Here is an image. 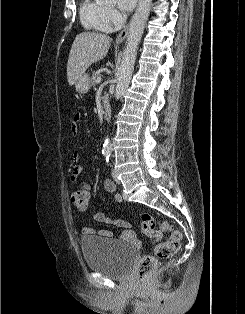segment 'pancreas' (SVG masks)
<instances>
[{"mask_svg": "<svg viewBox=\"0 0 245 314\" xmlns=\"http://www.w3.org/2000/svg\"><path fill=\"white\" fill-rule=\"evenodd\" d=\"M100 77V73L98 71H93L91 79H90V85L95 86L97 83V78Z\"/></svg>", "mask_w": 245, "mask_h": 314, "instance_id": "1", "label": "pancreas"}]
</instances>
